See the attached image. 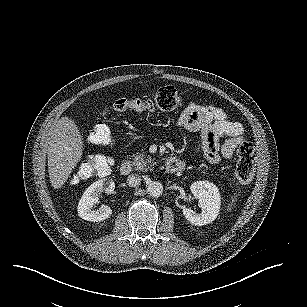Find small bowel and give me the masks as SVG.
<instances>
[{"label": "small bowel", "instance_id": "obj_1", "mask_svg": "<svg viewBox=\"0 0 307 307\" xmlns=\"http://www.w3.org/2000/svg\"><path fill=\"white\" fill-rule=\"evenodd\" d=\"M177 124L198 133L194 150L203 152L210 162L232 158L236 146L244 139L243 126L231 120L223 109L212 104L189 103L180 114ZM222 136L229 138L220 144Z\"/></svg>", "mask_w": 307, "mask_h": 307}]
</instances>
